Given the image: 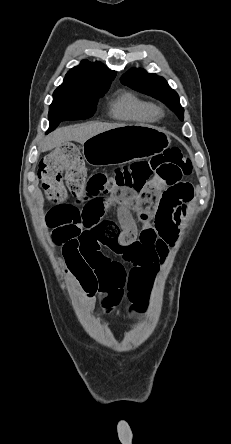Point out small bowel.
Here are the masks:
<instances>
[{"label":"small bowel","mask_w":231,"mask_h":444,"mask_svg":"<svg viewBox=\"0 0 231 444\" xmlns=\"http://www.w3.org/2000/svg\"><path fill=\"white\" fill-rule=\"evenodd\" d=\"M107 182L105 173L90 177L87 195L76 204H63L69 222L52 230L54 242L64 252L72 250L82 258L80 267L68 271L86 294L88 311L96 295H106L103 304L108 308L125 293L133 298L150 288L178 238L186 203L194 193L186 182L174 188L149 182L140 190L124 188L102 197L100 189ZM113 207L119 224L105 218ZM107 250L120 259L111 258Z\"/></svg>","instance_id":"1"}]
</instances>
